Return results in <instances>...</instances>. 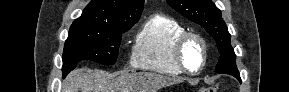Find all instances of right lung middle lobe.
I'll return each instance as SVG.
<instances>
[{"instance_id": "obj_1", "label": "right lung middle lobe", "mask_w": 289, "mask_h": 92, "mask_svg": "<svg viewBox=\"0 0 289 92\" xmlns=\"http://www.w3.org/2000/svg\"><path fill=\"white\" fill-rule=\"evenodd\" d=\"M133 25L101 27L72 25L63 52V76L81 60L113 65L118 56L121 34Z\"/></svg>"}]
</instances>
